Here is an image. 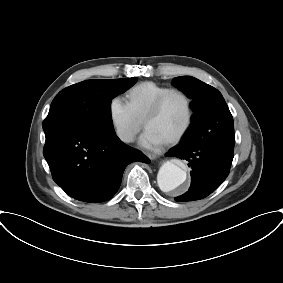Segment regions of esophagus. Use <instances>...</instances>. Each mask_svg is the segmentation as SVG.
I'll return each instance as SVG.
<instances>
[{
  "mask_svg": "<svg viewBox=\"0 0 283 283\" xmlns=\"http://www.w3.org/2000/svg\"><path fill=\"white\" fill-rule=\"evenodd\" d=\"M147 156H148V157H149V159H151V160H154V159H156V158H157V155H156V154H154V153H150V154H148Z\"/></svg>",
  "mask_w": 283,
  "mask_h": 283,
  "instance_id": "esophagus-1",
  "label": "esophagus"
}]
</instances>
